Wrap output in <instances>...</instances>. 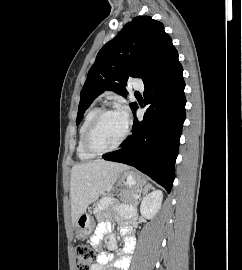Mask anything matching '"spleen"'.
Instances as JSON below:
<instances>
[{
    "instance_id": "obj_1",
    "label": "spleen",
    "mask_w": 242,
    "mask_h": 270,
    "mask_svg": "<svg viewBox=\"0 0 242 270\" xmlns=\"http://www.w3.org/2000/svg\"><path fill=\"white\" fill-rule=\"evenodd\" d=\"M151 186L150 185H147L146 186V189H145V192L147 191V189H149Z\"/></svg>"
}]
</instances>
